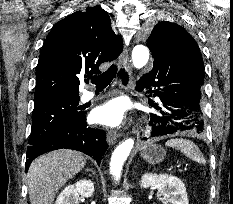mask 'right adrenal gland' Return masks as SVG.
<instances>
[{"label":"right adrenal gland","mask_w":233,"mask_h":204,"mask_svg":"<svg viewBox=\"0 0 233 204\" xmlns=\"http://www.w3.org/2000/svg\"><path fill=\"white\" fill-rule=\"evenodd\" d=\"M87 171H91L94 175H96L95 171L91 168L87 169Z\"/></svg>","instance_id":"2a0ac1e0"}]
</instances>
